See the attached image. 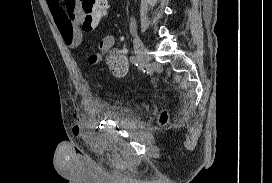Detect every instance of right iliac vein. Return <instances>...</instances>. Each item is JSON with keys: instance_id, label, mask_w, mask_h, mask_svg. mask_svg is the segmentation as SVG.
I'll list each match as a JSON object with an SVG mask.
<instances>
[{"instance_id": "obj_1", "label": "right iliac vein", "mask_w": 272, "mask_h": 183, "mask_svg": "<svg viewBox=\"0 0 272 183\" xmlns=\"http://www.w3.org/2000/svg\"><path fill=\"white\" fill-rule=\"evenodd\" d=\"M133 46L138 58L140 68H146L149 63V56L143 45V42L137 35H134L133 37Z\"/></svg>"}]
</instances>
